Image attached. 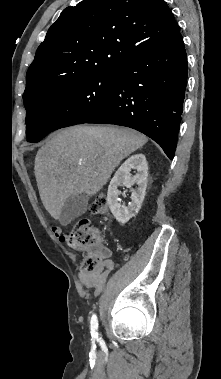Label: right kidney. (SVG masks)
<instances>
[{"label":"right kidney","mask_w":221,"mask_h":379,"mask_svg":"<svg viewBox=\"0 0 221 379\" xmlns=\"http://www.w3.org/2000/svg\"><path fill=\"white\" fill-rule=\"evenodd\" d=\"M136 169L137 173L132 176L131 170ZM148 177V164L144 154H135L129 157L116 171L108 186L107 202L115 219L120 224H125L130 218L135 216L141 208L145 197ZM134 184L137 190H132L131 202L128 206L120 204L119 186L126 185L131 188Z\"/></svg>","instance_id":"ca27d5eb"}]
</instances>
